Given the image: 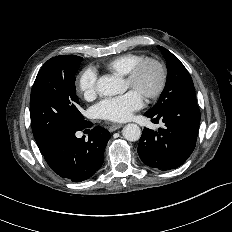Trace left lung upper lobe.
<instances>
[{
	"mask_svg": "<svg viewBox=\"0 0 232 232\" xmlns=\"http://www.w3.org/2000/svg\"><path fill=\"white\" fill-rule=\"evenodd\" d=\"M159 49L167 62V81L158 102L149 111H160L182 100L196 104L195 88L189 72L166 48L159 46Z\"/></svg>",
	"mask_w": 232,
	"mask_h": 232,
	"instance_id": "5c2ea615",
	"label": "left lung upper lobe"
}]
</instances>
